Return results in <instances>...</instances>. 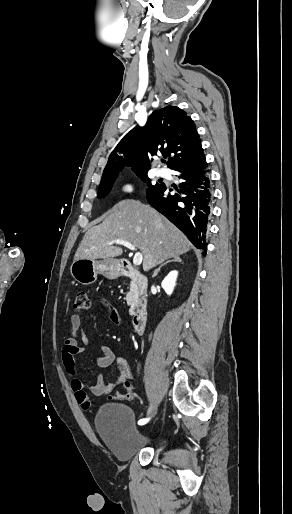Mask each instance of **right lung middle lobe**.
Segmentation results:
<instances>
[{"instance_id": "dd1d6c3e", "label": "right lung middle lobe", "mask_w": 292, "mask_h": 514, "mask_svg": "<svg viewBox=\"0 0 292 514\" xmlns=\"http://www.w3.org/2000/svg\"><path fill=\"white\" fill-rule=\"evenodd\" d=\"M137 175H138V177L143 182L148 184L147 192L157 188L158 186H160L162 184V183H156L155 185H152L151 184V179H149L148 176H147V172L146 173L137 174ZM115 180H116V178H111V179H107V180L101 181L100 186H99V190H98V194H97V197L99 199L107 196L110 193L112 185L115 182Z\"/></svg>"}]
</instances>
